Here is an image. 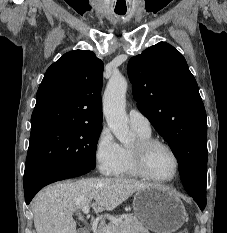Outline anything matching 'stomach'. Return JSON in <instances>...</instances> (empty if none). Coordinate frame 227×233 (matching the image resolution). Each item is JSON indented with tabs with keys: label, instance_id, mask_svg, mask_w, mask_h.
Segmentation results:
<instances>
[{
	"label": "stomach",
	"instance_id": "obj_1",
	"mask_svg": "<svg viewBox=\"0 0 227 233\" xmlns=\"http://www.w3.org/2000/svg\"><path fill=\"white\" fill-rule=\"evenodd\" d=\"M133 210L154 233H172L187 219L183 202L172 190L153 186L136 192Z\"/></svg>",
	"mask_w": 227,
	"mask_h": 233
}]
</instances>
